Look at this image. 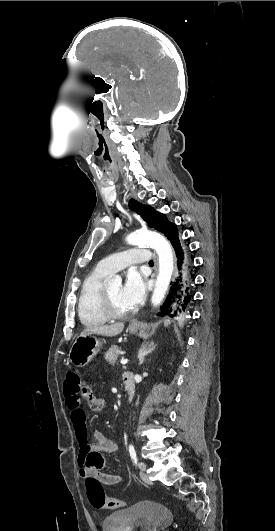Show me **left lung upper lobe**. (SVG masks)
<instances>
[{"mask_svg": "<svg viewBox=\"0 0 275 531\" xmlns=\"http://www.w3.org/2000/svg\"><path fill=\"white\" fill-rule=\"evenodd\" d=\"M129 207L140 215L149 227L164 233V235L168 227L173 224L167 220L165 215L157 212L149 205H143L132 199L130 200Z\"/></svg>", "mask_w": 275, "mask_h": 531, "instance_id": "1", "label": "left lung upper lobe"}]
</instances>
